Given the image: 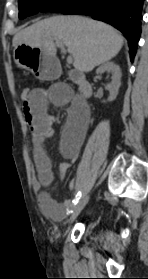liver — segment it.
I'll return each mask as SVG.
<instances>
[{
  "instance_id": "1",
  "label": "liver",
  "mask_w": 148,
  "mask_h": 279,
  "mask_svg": "<svg viewBox=\"0 0 148 279\" xmlns=\"http://www.w3.org/2000/svg\"><path fill=\"white\" fill-rule=\"evenodd\" d=\"M61 41L74 57L73 66L90 72L115 57L123 46V37L110 25L80 16H55L38 21L13 37V46L42 49L56 58L54 41Z\"/></svg>"
}]
</instances>
